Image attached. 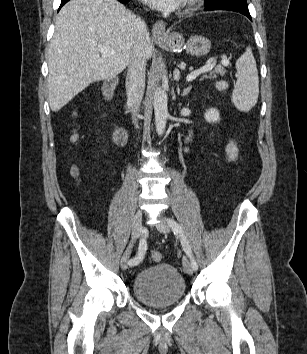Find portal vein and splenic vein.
I'll return each mask as SVG.
<instances>
[{"instance_id":"1","label":"portal vein and splenic vein","mask_w":307,"mask_h":354,"mask_svg":"<svg viewBox=\"0 0 307 354\" xmlns=\"http://www.w3.org/2000/svg\"><path fill=\"white\" fill-rule=\"evenodd\" d=\"M98 50L100 51V53L103 57H113L115 55V51L112 48L107 47V46L99 45ZM221 63L224 66H227L229 64V61L224 59L221 61ZM215 64H216L215 60L207 62V64L205 66L188 74L186 77V81H188V82L193 81L200 74L211 71L214 68Z\"/></svg>"}]
</instances>
